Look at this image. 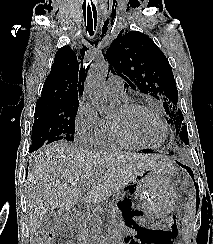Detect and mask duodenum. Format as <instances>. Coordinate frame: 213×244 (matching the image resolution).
Returning a JSON list of instances; mask_svg holds the SVG:
<instances>
[{
	"label": "duodenum",
	"mask_w": 213,
	"mask_h": 244,
	"mask_svg": "<svg viewBox=\"0 0 213 244\" xmlns=\"http://www.w3.org/2000/svg\"><path fill=\"white\" fill-rule=\"evenodd\" d=\"M70 217H77V213H72ZM97 244H106V238L101 236L98 238Z\"/></svg>",
	"instance_id": "obj_1"
}]
</instances>
